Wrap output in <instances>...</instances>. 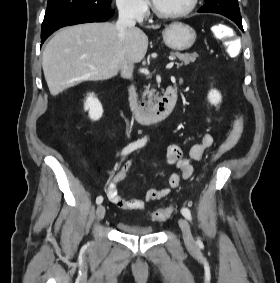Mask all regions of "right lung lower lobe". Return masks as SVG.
<instances>
[{"mask_svg":"<svg viewBox=\"0 0 280 283\" xmlns=\"http://www.w3.org/2000/svg\"><path fill=\"white\" fill-rule=\"evenodd\" d=\"M114 14V10L105 12L63 11L44 17L41 30V45L57 29L88 22H104Z\"/></svg>","mask_w":280,"mask_h":283,"instance_id":"98d812e1","label":"right lung lower lobe"}]
</instances>
